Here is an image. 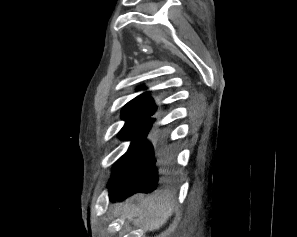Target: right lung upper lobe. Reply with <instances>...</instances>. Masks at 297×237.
<instances>
[{
	"label": "right lung upper lobe",
	"instance_id": "right-lung-upper-lobe-1",
	"mask_svg": "<svg viewBox=\"0 0 297 237\" xmlns=\"http://www.w3.org/2000/svg\"><path fill=\"white\" fill-rule=\"evenodd\" d=\"M155 111L156 106L154 101L147 91L137 96L123 107L122 118L126 121V123L140 120L154 121L151 116L155 113Z\"/></svg>",
	"mask_w": 297,
	"mask_h": 237
}]
</instances>
